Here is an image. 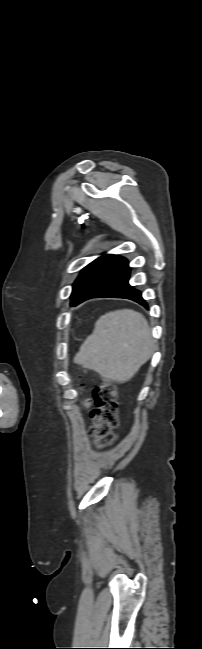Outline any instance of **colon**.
I'll use <instances>...</instances> for the list:
<instances>
[{"label": "colon", "instance_id": "5ec220e1", "mask_svg": "<svg viewBox=\"0 0 202 649\" xmlns=\"http://www.w3.org/2000/svg\"><path fill=\"white\" fill-rule=\"evenodd\" d=\"M82 405L90 407L95 405L92 411L91 436L99 447H106L113 444L116 435L113 428L118 424L117 411V388L111 382H103L94 389L92 399H83Z\"/></svg>", "mask_w": 202, "mask_h": 649}]
</instances>
